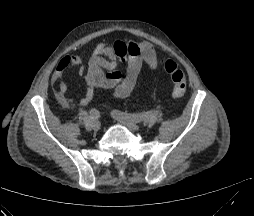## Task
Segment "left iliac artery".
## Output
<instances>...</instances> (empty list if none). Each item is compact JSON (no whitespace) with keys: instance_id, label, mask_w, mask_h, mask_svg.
<instances>
[{"instance_id":"1","label":"left iliac artery","mask_w":254,"mask_h":216,"mask_svg":"<svg viewBox=\"0 0 254 216\" xmlns=\"http://www.w3.org/2000/svg\"><path fill=\"white\" fill-rule=\"evenodd\" d=\"M114 113H116L117 115L121 117L131 119L135 122H141L144 119V114H141V113L130 114V113H124L118 110H115Z\"/></svg>"}]
</instances>
